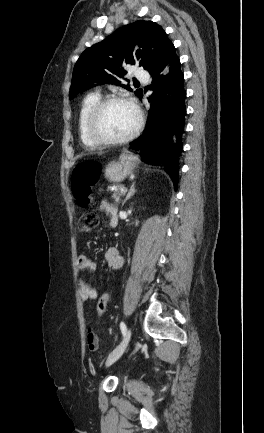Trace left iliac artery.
Wrapping results in <instances>:
<instances>
[{"instance_id":"1","label":"left iliac artery","mask_w":264,"mask_h":433,"mask_svg":"<svg viewBox=\"0 0 264 433\" xmlns=\"http://www.w3.org/2000/svg\"><path fill=\"white\" fill-rule=\"evenodd\" d=\"M120 328H121L122 334L125 335V333H126V325L124 324V322L120 323Z\"/></svg>"}]
</instances>
